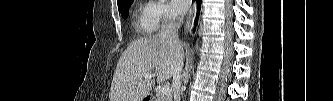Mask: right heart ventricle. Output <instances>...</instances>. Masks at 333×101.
<instances>
[{
	"label": "right heart ventricle",
	"instance_id": "right-heart-ventricle-1",
	"mask_svg": "<svg viewBox=\"0 0 333 101\" xmlns=\"http://www.w3.org/2000/svg\"><path fill=\"white\" fill-rule=\"evenodd\" d=\"M152 6H142L135 17V29L142 35H149L154 32L157 28V23L152 15Z\"/></svg>",
	"mask_w": 333,
	"mask_h": 101
}]
</instances>
